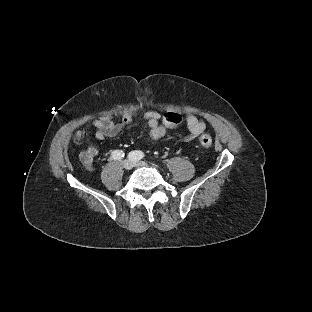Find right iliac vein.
<instances>
[{
  "mask_svg": "<svg viewBox=\"0 0 312 312\" xmlns=\"http://www.w3.org/2000/svg\"><path fill=\"white\" fill-rule=\"evenodd\" d=\"M123 168L126 169V170H130L133 168V162L130 161V160H125L123 162Z\"/></svg>",
  "mask_w": 312,
  "mask_h": 312,
  "instance_id": "63e3f726",
  "label": "right iliac vein"
}]
</instances>
